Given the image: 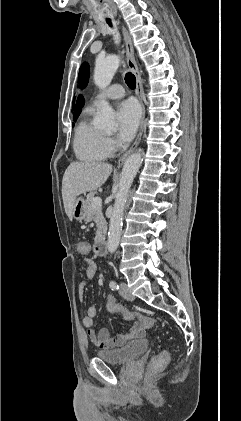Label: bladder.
Returning <instances> with one entry per match:
<instances>
[{
  "mask_svg": "<svg viewBox=\"0 0 241 421\" xmlns=\"http://www.w3.org/2000/svg\"><path fill=\"white\" fill-rule=\"evenodd\" d=\"M149 346L147 339H138L117 349L98 351L96 356L110 364L126 365L144 354Z\"/></svg>",
  "mask_w": 241,
  "mask_h": 421,
  "instance_id": "31cf9c89",
  "label": "bladder"
}]
</instances>
